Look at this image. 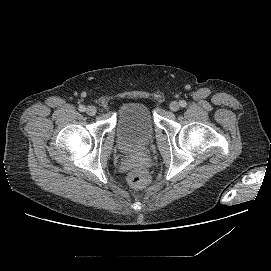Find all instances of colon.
Here are the masks:
<instances>
[{"instance_id": "obj_1", "label": "colon", "mask_w": 271, "mask_h": 271, "mask_svg": "<svg viewBox=\"0 0 271 271\" xmlns=\"http://www.w3.org/2000/svg\"><path fill=\"white\" fill-rule=\"evenodd\" d=\"M128 182L134 188H144L149 183V176L143 169H135L128 175Z\"/></svg>"}]
</instances>
